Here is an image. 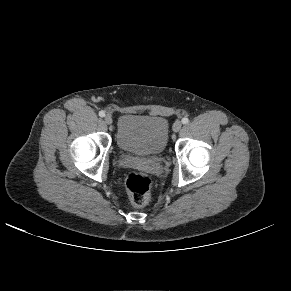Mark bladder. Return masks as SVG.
Instances as JSON below:
<instances>
[{
	"mask_svg": "<svg viewBox=\"0 0 291 291\" xmlns=\"http://www.w3.org/2000/svg\"><path fill=\"white\" fill-rule=\"evenodd\" d=\"M169 123L158 115L124 114L117 124L118 147L138 156L161 154L168 142Z\"/></svg>",
	"mask_w": 291,
	"mask_h": 291,
	"instance_id": "31cf9c89",
	"label": "bladder"
}]
</instances>
